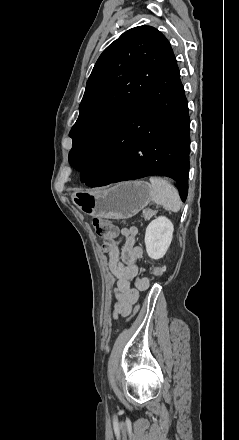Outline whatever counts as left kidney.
Here are the masks:
<instances>
[{"instance_id": "1", "label": "left kidney", "mask_w": 239, "mask_h": 440, "mask_svg": "<svg viewBox=\"0 0 239 440\" xmlns=\"http://www.w3.org/2000/svg\"><path fill=\"white\" fill-rule=\"evenodd\" d=\"M174 226L168 218L160 216L146 228L145 246L149 258L160 260L165 256L173 238Z\"/></svg>"}]
</instances>
